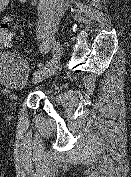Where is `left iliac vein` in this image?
Listing matches in <instances>:
<instances>
[{"mask_svg": "<svg viewBox=\"0 0 131 177\" xmlns=\"http://www.w3.org/2000/svg\"><path fill=\"white\" fill-rule=\"evenodd\" d=\"M54 49H55V54L52 58L54 60L53 65L52 66H47V69L45 71L41 72L40 74L34 75V77L32 79L33 84L39 83V82H41L45 79L50 78L58 70L59 64H60V56H61V46H60V44L55 43L54 44Z\"/></svg>", "mask_w": 131, "mask_h": 177, "instance_id": "obj_1", "label": "left iliac vein"}]
</instances>
